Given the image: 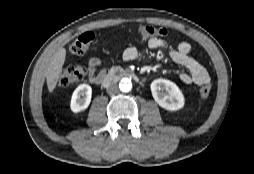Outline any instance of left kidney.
<instances>
[{"label":"left kidney","mask_w":254,"mask_h":174,"mask_svg":"<svg viewBox=\"0 0 254 174\" xmlns=\"http://www.w3.org/2000/svg\"><path fill=\"white\" fill-rule=\"evenodd\" d=\"M150 87L155 102L162 108L169 111L183 108L184 95L172 81L159 78L154 80Z\"/></svg>","instance_id":"1"}]
</instances>
